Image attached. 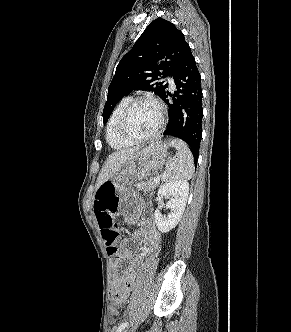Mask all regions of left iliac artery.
<instances>
[{
  "mask_svg": "<svg viewBox=\"0 0 291 332\" xmlns=\"http://www.w3.org/2000/svg\"><path fill=\"white\" fill-rule=\"evenodd\" d=\"M127 325H128V322H124V323L120 324V325L117 327L116 332H122V330H123L125 327H127Z\"/></svg>",
  "mask_w": 291,
  "mask_h": 332,
  "instance_id": "obj_1",
  "label": "left iliac artery"
}]
</instances>
